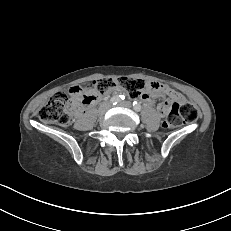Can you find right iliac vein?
<instances>
[{
	"label": "right iliac vein",
	"instance_id": "63e3f726",
	"mask_svg": "<svg viewBox=\"0 0 231 231\" xmlns=\"http://www.w3.org/2000/svg\"><path fill=\"white\" fill-rule=\"evenodd\" d=\"M106 108H108V107H106ZM106 108H103V109H101V110H100V114H103V113H105V111H106Z\"/></svg>",
	"mask_w": 231,
	"mask_h": 231
}]
</instances>
